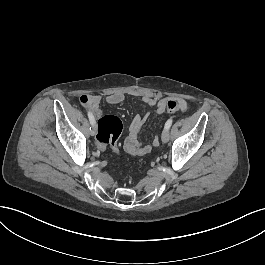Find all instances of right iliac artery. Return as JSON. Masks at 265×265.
<instances>
[{"mask_svg": "<svg viewBox=\"0 0 265 265\" xmlns=\"http://www.w3.org/2000/svg\"><path fill=\"white\" fill-rule=\"evenodd\" d=\"M87 115H88V118H89L90 124H91V125H94V124H95V119H94L93 114H92L90 111H88V112H87Z\"/></svg>", "mask_w": 265, "mask_h": 265, "instance_id": "obj_1", "label": "right iliac artery"}]
</instances>
